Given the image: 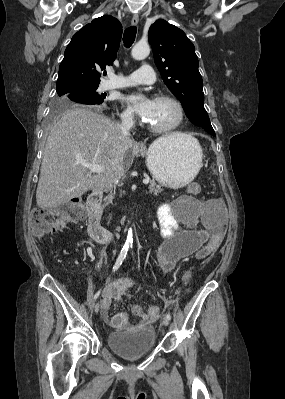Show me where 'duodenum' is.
I'll return each instance as SVG.
<instances>
[{
    "mask_svg": "<svg viewBox=\"0 0 285 399\" xmlns=\"http://www.w3.org/2000/svg\"><path fill=\"white\" fill-rule=\"evenodd\" d=\"M103 195L100 191H94L87 200L88 205V232L97 242L111 241L120 234L105 227L101 222L100 205Z\"/></svg>",
    "mask_w": 285,
    "mask_h": 399,
    "instance_id": "1",
    "label": "duodenum"
}]
</instances>
